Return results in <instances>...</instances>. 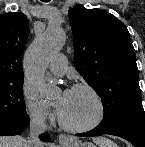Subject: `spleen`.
I'll return each mask as SVG.
<instances>
[{
  "label": "spleen",
  "instance_id": "1",
  "mask_svg": "<svg viewBox=\"0 0 145 147\" xmlns=\"http://www.w3.org/2000/svg\"><path fill=\"white\" fill-rule=\"evenodd\" d=\"M100 147H117V145L110 140H104V142L100 144Z\"/></svg>",
  "mask_w": 145,
  "mask_h": 147
}]
</instances>
